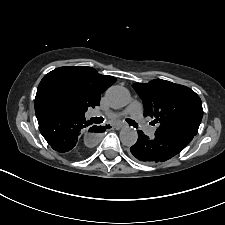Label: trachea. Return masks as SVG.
I'll use <instances>...</instances> for the list:
<instances>
[{
  "mask_svg": "<svg viewBox=\"0 0 225 225\" xmlns=\"http://www.w3.org/2000/svg\"><path fill=\"white\" fill-rule=\"evenodd\" d=\"M98 121H99V123L102 122V121H103V118H98ZM126 121L128 122V124H129L130 126H133V127H135V128L138 127V125H137V123H136L135 121H133V120H131V119H126Z\"/></svg>",
  "mask_w": 225,
  "mask_h": 225,
  "instance_id": "1",
  "label": "trachea"
}]
</instances>
